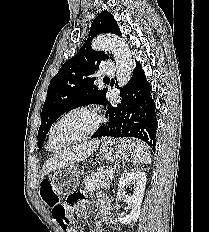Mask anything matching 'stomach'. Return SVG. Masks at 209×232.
Masks as SVG:
<instances>
[{"mask_svg": "<svg viewBox=\"0 0 209 232\" xmlns=\"http://www.w3.org/2000/svg\"><path fill=\"white\" fill-rule=\"evenodd\" d=\"M135 148V143L130 139H106L100 145V153L105 160L115 161L132 155ZM80 175L81 172L73 165L58 169L54 172L51 185L56 193L69 194L82 183Z\"/></svg>", "mask_w": 209, "mask_h": 232, "instance_id": "1", "label": "stomach"}]
</instances>
